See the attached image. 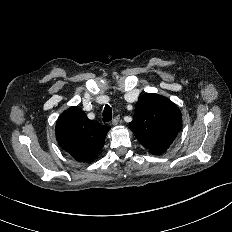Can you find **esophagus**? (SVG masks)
Instances as JSON below:
<instances>
[{
	"mask_svg": "<svg viewBox=\"0 0 232 232\" xmlns=\"http://www.w3.org/2000/svg\"><path fill=\"white\" fill-rule=\"evenodd\" d=\"M119 120H120V117L119 115L115 116L113 119H112V125H117L119 123Z\"/></svg>",
	"mask_w": 232,
	"mask_h": 232,
	"instance_id": "esophagus-1",
	"label": "esophagus"
}]
</instances>
